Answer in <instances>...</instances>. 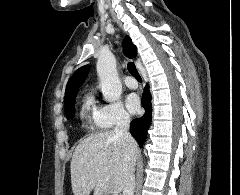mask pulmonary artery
<instances>
[{
	"instance_id": "1",
	"label": "pulmonary artery",
	"mask_w": 240,
	"mask_h": 195,
	"mask_svg": "<svg viewBox=\"0 0 240 195\" xmlns=\"http://www.w3.org/2000/svg\"><path fill=\"white\" fill-rule=\"evenodd\" d=\"M124 81H125V84L130 88H136L138 85L136 80H134L133 78L127 77V78H125Z\"/></svg>"
}]
</instances>
